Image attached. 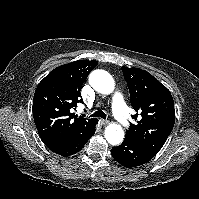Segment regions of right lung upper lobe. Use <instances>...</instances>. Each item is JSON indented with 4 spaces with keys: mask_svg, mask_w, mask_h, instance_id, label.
I'll return each instance as SVG.
<instances>
[{
    "mask_svg": "<svg viewBox=\"0 0 199 199\" xmlns=\"http://www.w3.org/2000/svg\"><path fill=\"white\" fill-rule=\"evenodd\" d=\"M98 64L95 60H78L52 70L39 83L33 98V117L42 141L76 138L97 119L76 117L70 109L83 102L81 87Z\"/></svg>",
    "mask_w": 199,
    "mask_h": 199,
    "instance_id": "obj_1",
    "label": "right lung upper lobe"
}]
</instances>
